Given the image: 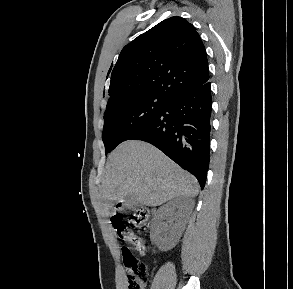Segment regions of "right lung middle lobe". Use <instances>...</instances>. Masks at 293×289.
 Instances as JSON below:
<instances>
[{
	"instance_id": "dd1d6c3e",
	"label": "right lung middle lobe",
	"mask_w": 293,
	"mask_h": 289,
	"mask_svg": "<svg viewBox=\"0 0 293 289\" xmlns=\"http://www.w3.org/2000/svg\"><path fill=\"white\" fill-rule=\"evenodd\" d=\"M161 94H142L108 105L104 114L102 139L105 153L121 142L157 114L169 101Z\"/></svg>"
}]
</instances>
